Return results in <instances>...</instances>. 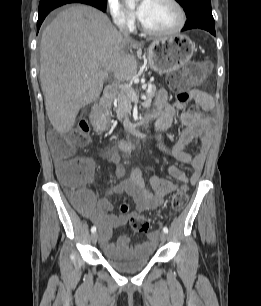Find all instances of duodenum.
Segmentation results:
<instances>
[{"label": "duodenum", "mask_w": 261, "mask_h": 306, "mask_svg": "<svg viewBox=\"0 0 261 306\" xmlns=\"http://www.w3.org/2000/svg\"><path fill=\"white\" fill-rule=\"evenodd\" d=\"M116 97H117V89L113 86L106 87L105 92H104V103H103V105L104 106L108 105L109 103L114 101L116 99ZM144 122H145V119H142L140 121V124H144ZM118 144H119L120 149L124 152H128L129 150H131L132 148L135 147L134 142H131V141H128V140H125V139L119 140Z\"/></svg>", "instance_id": "1"}]
</instances>
